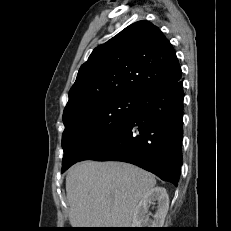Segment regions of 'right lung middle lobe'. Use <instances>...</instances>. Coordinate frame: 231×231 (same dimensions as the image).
<instances>
[{
    "instance_id": "1",
    "label": "right lung middle lobe",
    "mask_w": 231,
    "mask_h": 231,
    "mask_svg": "<svg viewBox=\"0 0 231 231\" xmlns=\"http://www.w3.org/2000/svg\"><path fill=\"white\" fill-rule=\"evenodd\" d=\"M136 105V96H119L63 115L62 173L117 131Z\"/></svg>"
}]
</instances>
